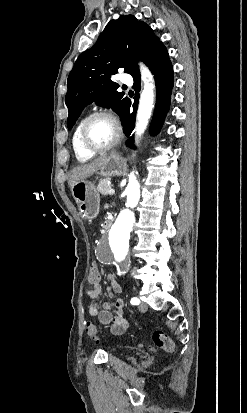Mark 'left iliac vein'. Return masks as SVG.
Returning a JSON list of instances; mask_svg holds the SVG:
<instances>
[{
	"mask_svg": "<svg viewBox=\"0 0 247 413\" xmlns=\"http://www.w3.org/2000/svg\"><path fill=\"white\" fill-rule=\"evenodd\" d=\"M139 311L140 312H145L147 310V305L145 302L140 301L139 305H138Z\"/></svg>",
	"mask_w": 247,
	"mask_h": 413,
	"instance_id": "4c4485c4",
	"label": "left iliac vein"
}]
</instances>
